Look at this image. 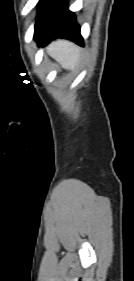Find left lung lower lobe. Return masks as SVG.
Wrapping results in <instances>:
<instances>
[{
    "label": "left lung lower lobe",
    "instance_id": "0a47b994",
    "mask_svg": "<svg viewBox=\"0 0 134 281\" xmlns=\"http://www.w3.org/2000/svg\"><path fill=\"white\" fill-rule=\"evenodd\" d=\"M57 37L83 45L75 15L67 9L66 1L41 0L34 39L40 46L48 44L51 39Z\"/></svg>",
    "mask_w": 134,
    "mask_h": 281
}]
</instances>
